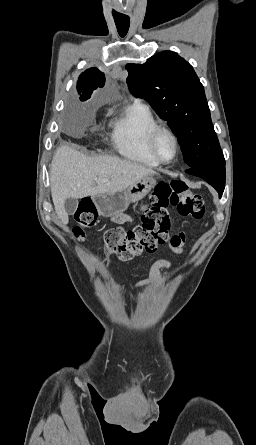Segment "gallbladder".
Segmentation results:
<instances>
[{"mask_svg":"<svg viewBox=\"0 0 256 445\" xmlns=\"http://www.w3.org/2000/svg\"><path fill=\"white\" fill-rule=\"evenodd\" d=\"M78 200L75 198H67L64 202V209L68 215H73L77 209Z\"/></svg>","mask_w":256,"mask_h":445,"instance_id":"1","label":"gallbladder"}]
</instances>
